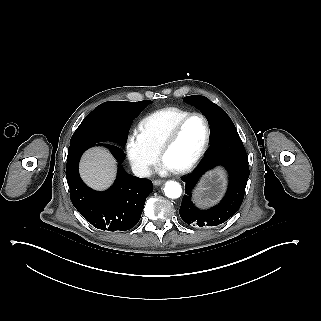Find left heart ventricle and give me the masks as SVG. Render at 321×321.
<instances>
[{"label": "left heart ventricle", "instance_id": "obj_1", "mask_svg": "<svg viewBox=\"0 0 321 321\" xmlns=\"http://www.w3.org/2000/svg\"><path fill=\"white\" fill-rule=\"evenodd\" d=\"M205 127L201 118L193 117L180 129L175 141L167 148L166 158L175 169L187 166L196 156L204 140Z\"/></svg>", "mask_w": 321, "mask_h": 321}]
</instances>
